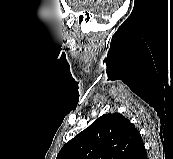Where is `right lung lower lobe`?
Listing matches in <instances>:
<instances>
[{
    "label": "right lung lower lobe",
    "mask_w": 173,
    "mask_h": 159,
    "mask_svg": "<svg viewBox=\"0 0 173 159\" xmlns=\"http://www.w3.org/2000/svg\"><path fill=\"white\" fill-rule=\"evenodd\" d=\"M138 159H147L146 151Z\"/></svg>",
    "instance_id": "obj_1"
}]
</instances>
